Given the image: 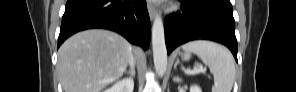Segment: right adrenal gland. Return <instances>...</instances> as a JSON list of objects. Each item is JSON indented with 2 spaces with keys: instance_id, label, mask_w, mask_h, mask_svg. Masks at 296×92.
Here are the masks:
<instances>
[{
  "instance_id": "2a0ac1e0",
  "label": "right adrenal gland",
  "mask_w": 296,
  "mask_h": 92,
  "mask_svg": "<svg viewBox=\"0 0 296 92\" xmlns=\"http://www.w3.org/2000/svg\"><path fill=\"white\" fill-rule=\"evenodd\" d=\"M128 73H129L132 77H135V68L132 67V68L130 69V71H128Z\"/></svg>"
}]
</instances>
